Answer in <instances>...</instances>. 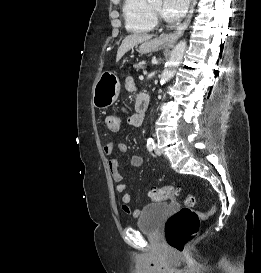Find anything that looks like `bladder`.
Wrapping results in <instances>:
<instances>
[{
    "label": "bladder",
    "mask_w": 261,
    "mask_h": 273,
    "mask_svg": "<svg viewBox=\"0 0 261 273\" xmlns=\"http://www.w3.org/2000/svg\"><path fill=\"white\" fill-rule=\"evenodd\" d=\"M169 207L167 203L145 205L137 220L138 228L147 234H157L168 214Z\"/></svg>",
    "instance_id": "obj_1"
}]
</instances>
